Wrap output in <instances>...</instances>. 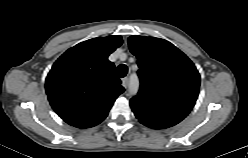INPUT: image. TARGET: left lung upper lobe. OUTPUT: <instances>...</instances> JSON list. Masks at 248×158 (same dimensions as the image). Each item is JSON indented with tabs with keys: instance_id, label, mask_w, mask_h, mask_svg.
<instances>
[{
	"instance_id": "obj_1",
	"label": "left lung upper lobe",
	"mask_w": 248,
	"mask_h": 158,
	"mask_svg": "<svg viewBox=\"0 0 248 158\" xmlns=\"http://www.w3.org/2000/svg\"><path fill=\"white\" fill-rule=\"evenodd\" d=\"M128 44L139 66L140 89L130 100L135 116L153 129L178 124L198 98L200 75L195 65L164 39L130 36Z\"/></svg>"
}]
</instances>
